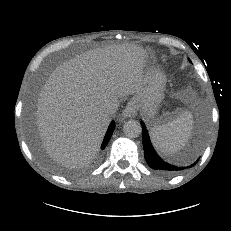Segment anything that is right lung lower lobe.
<instances>
[{
	"label": "right lung lower lobe",
	"mask_w": 231,
	"mask_h": 231,
	"mask_svg": "<svg viewBox=\"0 0 231 231\" xmlns=\"http://www.w3.org/2000/svg\"><path fill=\"white\" fill-rule=\"evenodd\" d=\"M114 128H115V124H114V122H112L110 124V126H109V128L107 130V133L105 135V138L103 140V143H102V146H101L102 149H104L106 147V145H107V143H108V141H109V139H110V137H111V135H112V133L114 131Z\"/></svg>",
	"instance_id": "1"
}]
</instances>
